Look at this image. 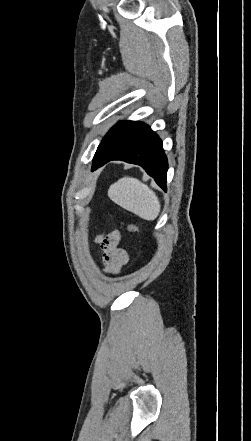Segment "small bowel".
Here are the masks:
<instances>
[{"mask_svg":"<svg viewBox=\"0 0 251 441\" xmlns=\"http://www.w3.org/2000/svg\"><path fill=\"white\" fill-rule=\"evenodd\" d=\"M103 250V261L105 269L109 273H118L128 262V255L125 250L120 248V233L113 231L106 236L97 238Z\"/></svg>","mask_w":251,"mask_h":441,"instance_id":"c3829d8e","label":"small bowel"}]
</instances>
